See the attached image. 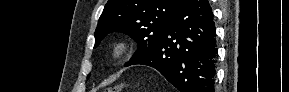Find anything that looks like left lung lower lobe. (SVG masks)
<instances>
[{"mask_svg": "<svg viewBox=\"0 0 289 92\" xmlns=\"http://www.w3.org/2000/svg\"><path fill=\"white\" fill-rule=\"evenodd\" d=\"M216 32L208 0H185L152 52L127 64L157 69L180 92H214Z\"/></svg>", "mask_w": 289, "mask_h": 92, "instance_id": "left-lung-lower-lobe-1", "label": "left lung lower lobe"}]
</instances>
